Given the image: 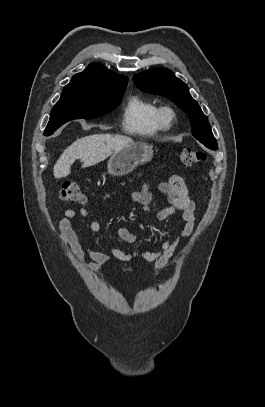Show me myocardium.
<instances>
[{"label":"myocardium","instance_id":"obj_1","mask_svg":"<svg viewBox=\"0 0 265 407\" xmlns=\"http://www.w3.org/2000/svg\"><path fill=\"white\" fill-rule=\"evenodd\" d=\"M176 120V111L171 106H163L158 111V121L162 129L170 128Z\"/></svg>","mask_w":265,"mask_h":407}]
</instances>
